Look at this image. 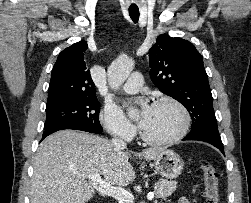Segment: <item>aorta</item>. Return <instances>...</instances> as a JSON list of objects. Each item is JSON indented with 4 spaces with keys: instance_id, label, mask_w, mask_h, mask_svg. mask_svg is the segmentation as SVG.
Instances as JSON below:
<instances>
[{
    "instance_id": "762f6f07",
    "label": "aorta",
    "mask_w": 251,
    "mask_h": 203,
    "mask_svg": "<svg viewBox=\"0 0 251 203\" xmlns=\"http://www.w3.org/2000/svg\"><path fill=\"white\" fill-rule=\"evenodd\" d=\"M134 68V62L128 58H118L111 63L107 71L108 84L112 89H119L129 77ZM135 111L128 110V115L133 116Z\"/></svg>"
}]
</instances>
